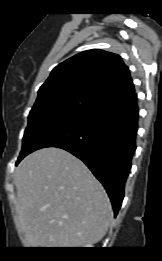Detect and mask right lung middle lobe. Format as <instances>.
I'll list each match as a JSON object with an SVG mask.
<instances>
[{
    "label": "right lung middle lobe",
    "mask_w": 162,
    "mask_h": 261,
    "mask_svg": "<svg viewBox=\"0 0 162 261\" xmlns=\"http://www.w3.org/2000/svg\"><path fill=\"white\" fill-rule=\"evenodd\" d=\"M100 104L98 100L80 92L37 98L28 117L19 158L33 152L47 135L63 124Z\"/></svg>",
    "instance_id": "obj_1"
}]
</instances>
